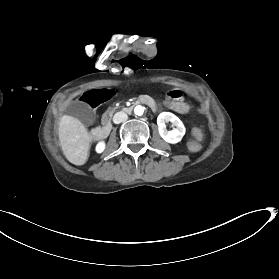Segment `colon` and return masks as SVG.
Here are the masks:
<instances>
[{
	"label": "colon",
	"instance_id": "colon-1",
	"mask_svg": "<svg viewBox=\"0 0 279 279\" xmlns=\"http://www.w3.org/2000/svg\"><path fill=\"white\" fill-rule=\"evenodd\" d=\"M192 136L195 138V139H201L202 138V132H201V130L200 129H198V128H194L193 130H192Z\"/></svg>",
	"mask_w": 279,
	"mask_h": 279
}]
</instances>
